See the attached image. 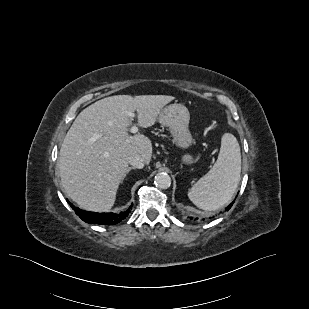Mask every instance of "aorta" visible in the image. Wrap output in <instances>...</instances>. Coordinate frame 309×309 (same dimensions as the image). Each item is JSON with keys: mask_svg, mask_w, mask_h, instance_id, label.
Returning <instances> with one entry per match:
<instances>
[{"mask_svg": "<svg viewBox=\"0 0 309 309\" xmlns=\"http://www.w3.org/2000/svg\"><path fill=\"white\" fill-rule=\"evenodd\" d=\"M154 183L161 189H167L171 185V178L167 173L161 172L155 176Z\"/></svg>", "mask_w": 309, "mask_h": 309, "instance_id": "762f6f07", "label": "aorta"}]
</instances>
